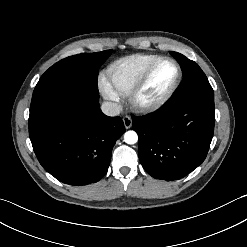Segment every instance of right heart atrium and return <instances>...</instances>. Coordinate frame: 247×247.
<instances>
[{"mask_svg":"<svg viewBox=\"0 0 247 247\" xmlns=\"http://www.w3.org/2000/svg\"><path fill=\"white\" fill-rule=\"evenodd\" d=\"M98 87L100 92L105 98H108L110 100H118V94L116 91L113 89L111 84L109 83L108 79L104 76L101 75L98 79Z\"/></svg>","mask_w":247,"mask_h":247,"instance_id":"1","label":"right heart atrium"}]
</instances>
